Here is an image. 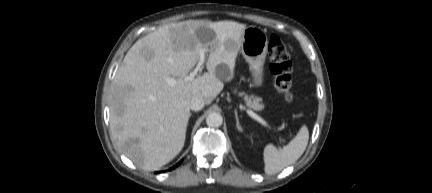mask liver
<instances>
[{
  "label": "liver",
  "mask_w": 432,
  "mask_h": 193,
  "mask_svg": "<svg viewBox=\"0 0 432 193\" xmlns=\"http://www.w3.org/2000/svg\"><path fill=\"white\" fill-rule=\"evenodd\" d=\"M246 25L234 21L187 20L160 27L139 39L127 52L111 87L110 129L118 148L136 166L158 170L182 150L195 95L210 104L233 78L236 57ZM212 31L202 41L203 31ZM209 52L208 72L187 81L199 60ZM225 67L223 78L218 67ZM167 78L177 81L170 86Z\"/></svg>",
  "instance_id": "liver-1"
}]
</instances>
